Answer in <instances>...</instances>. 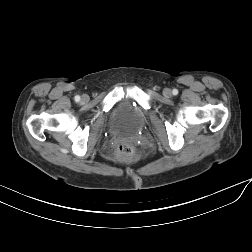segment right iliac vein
<instances>
[{"instance_id":"1","label":"right iliac vein","mask_w":252,"mask_h":252,"mask_svg":"<svg viewBox=\"0 0 252 252\" xmlns=\"http://www.w3.org/2000/svg\"><path fill=\"white\" fill-rule=\"evenodd\" d=\"M88 100V96L87 95H83L82 96V101L86 102Z\"/></svg>"}]
</instances>
